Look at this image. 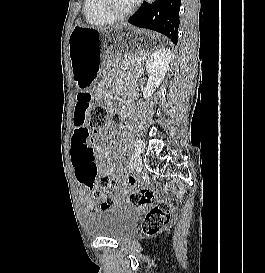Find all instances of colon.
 Returning a JSON list of instances; mask_svg holds the SVG:
<instances>
[{
	"label": "colon",
	"instance_id": "1",
	"mask_svg": "<svg viewBox=\"0 0 265 273\" xmlns=\"http://www.w3.org/2000/svg\"><path fill=\"white\" fill-rule=\"evenodd\" d=\"M90 95L87 92L79 94V105H76L73 113V120L71 124L74 128H87L88 126L93 130V145L89 147L91 155L100 153L104 147V132L110 126L119 125L122 121V116L118 112L109 110L105 105L96 103L89 106L88 102ZM96 169L90 176L81 173L82 182L88 187H93L94 181L92 177L96 173ZM113 190L118 196L126 194V189L116 179L103 177L99 180L97 188L93 192V197L100 201L101 206L110 204V200L103 195V192ZM129 201L138 206L146 205L154 201L153 192L145 186L135 185L129 191ZM171 220V207L165 201L156 202L148 211L144 223L143 233L148 236H154L160 233Z\"/></svg>",
	"mask_w": 265,
	"mask_h": 273
}]
</instances>
